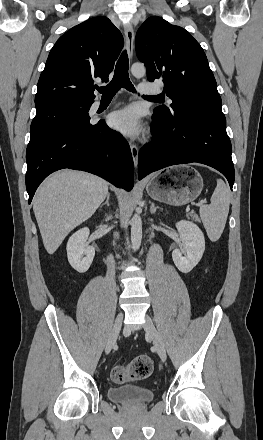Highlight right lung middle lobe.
Returning a JSON list of instances; mask_svg holds the SVG:
<instances>
[{
  "instance_id": "right-lung-middle-lobe-1",
  "label": "right lung middle lobe",
  "mask_w": 263,
  "mask_h": 440,
  "mask_svg": "<svg viewBox=\"0 0 263 440\" xmlns=\"http://www.w3.org/2000/svg\"><path fill=\"white\" fill-rule=\"evenodd\" d=\"M92 103L59 102L36 108V116L31 123L30 142L37 141L60 128L89 124L88 111Z\"/></svg>"
}]
</instances>
